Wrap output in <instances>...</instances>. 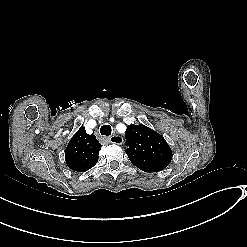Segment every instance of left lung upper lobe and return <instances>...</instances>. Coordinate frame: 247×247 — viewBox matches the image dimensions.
I'll list each match as a JSON object with an SVG mask.
<instances>
[{"instance_id":"5c2ea615","label":"left lung upper lobe","mask_w":247,"mask_h":247,"mask_svg":"<svg viewBox=\"0 0 247 247\" xmlns=\"http://www.w3.org/2000/svg\"><path fill=\"white\" fill-rule=\"evenodd\" d=\"M125 139L129 160L144 172L161 171L172 159V151L163 136L143 124L128 126Z\"/></svg>"}]
</instances>
